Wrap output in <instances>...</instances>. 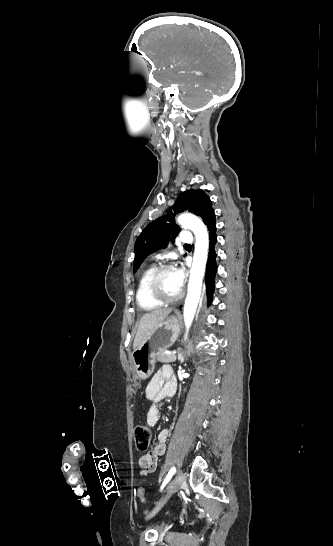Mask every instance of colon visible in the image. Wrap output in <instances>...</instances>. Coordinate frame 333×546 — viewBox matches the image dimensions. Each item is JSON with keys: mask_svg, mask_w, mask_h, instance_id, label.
I'll return each mask as SVG.
<instances>
[{"mask_svg": "<svg viewBox=\"0 0 333 546\" xmlns=\"http://www.w3.org/2000/svg\"><path fill=\"white\" fill-rule=\"evenodd\" d=\"M152 438V431L151 429L146 425H138L134 429V441L135 446L138 451H145L148 449L150 445V441ZM137 496L140 499L142 503L146 502L145 499V490L144 488L140 487L137 490Z\"/></svg>", "mask_w": 333, "mask_h": 546, "instance_id": "5ec220e1", "label": "colon"}]
</instances>
